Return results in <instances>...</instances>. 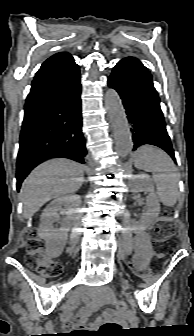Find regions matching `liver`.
Returning a JSON list of instances; mask_svg holds the SVG:
<instances>
[{
    "label": "liver",
    "instance_id": "1",
    "mask_svg": "<svg viewBox=\"0 0 194 336\" xmlns=\"http://www.w3.org/2000/svg\"><path fill=\"white\" fill-rule=\"evenodd\" d=\"M84 167L66 158H54L37 166L24 180L21 200L27 217L53 198L75 193L84 182Z\"/></svg>",
    "mask_w": 194,
    "mask_h": 336
}]
</instances>
